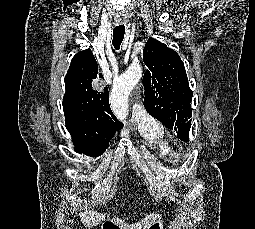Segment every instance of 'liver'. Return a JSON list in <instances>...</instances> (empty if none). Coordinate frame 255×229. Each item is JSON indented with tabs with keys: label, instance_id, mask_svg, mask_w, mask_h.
I'll return each instance as SVG.
<instances>
[{
	"label": "liver",
	"instance_id": "1",
	"mask_svg": "<svg viewBox=\"0 0 255 229\" xmlns=\"http://www.w3.org/2000/svg\"><path fill=\"white\" fill-rule=\"evenodd\" d=\"M79 216L81 218V221L87 226V227H93L97 226L101 222L105 220V214L95 212L94 210L84 211L80 212ZM161 216L157 213H153L150 215H146L144 219H142L140 222H136L135 224H127L124 223L119 218L113 219V222L117 225H119L122 229H148L154 222L159 220Z\"/></svg>",
	"mask_w": 255,
	"mask_h": 229
}]
</instances>
